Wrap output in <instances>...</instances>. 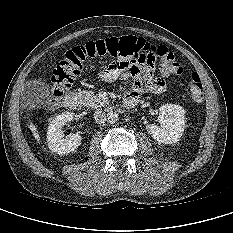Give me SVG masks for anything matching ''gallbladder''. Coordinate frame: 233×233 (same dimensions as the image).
Returning a JSON list of instances; mask_svg holds the SVG:
<instances>
[{"label":"gallbladder","instance_id":"1","mask_svg":"<svg viewBox=\"0 0 233 233\" xmlns=\"http://www.w3.org/2000/svg\"><path fill=\"white\" fill-rule=\"evenodd\" d=\"M27 87H31L32 93L42 100L47 101L51 96L49 87L40 81H31L27 84Z\"/></svg>","mask_w":233,"mask_h":233}]
</instances>
